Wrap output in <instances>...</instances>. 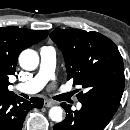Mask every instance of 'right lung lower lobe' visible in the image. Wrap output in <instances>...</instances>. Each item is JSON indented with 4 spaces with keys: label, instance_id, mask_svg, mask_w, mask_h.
<instances>
[{
    "label": "right lung lower lobe",
    "instance_id": "98d812e1",
    "mask_svg": "<svg viewBox=\"0 0 130 130\" xmlns=\"http://www.w3.org/2000/svg\"><path fill=\"white\" fill-rule=\"evenodd\" d=\"M43 103L42 98L28 101L14 93L0 95V130H21L27 112Z\"/></svg>",
    "mask_w": 130,
    "mask_h": 130
}]
</instances>
